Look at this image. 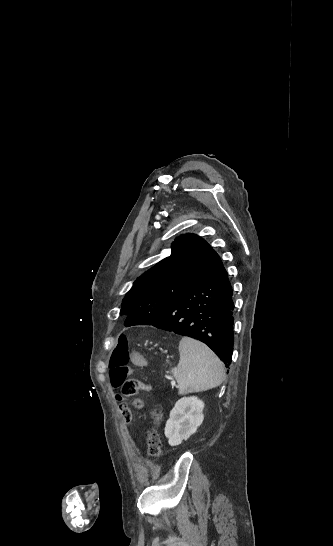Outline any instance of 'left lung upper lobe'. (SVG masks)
Listing matches in <instances>:
<instances>
[{
    "label": "left lung upper lobe",
    "mask_w": 333,
    "mask_h": 546,
    "mask_svg": "<svg viewBox=\"0 0 333 546\" xmlns=\"http://www.w3.org/2000/svg\"><path fill=\"white\" fill-rule=\"evenodd\" d=\"M171 255L137 278L122 302L120 314H138L141 324L154 323L163 308L176 301L195 280L213 252L201 237L185 234L173 242Z\"/></svg>",
    "instance_id": "obj_1"
}]
</instances>
